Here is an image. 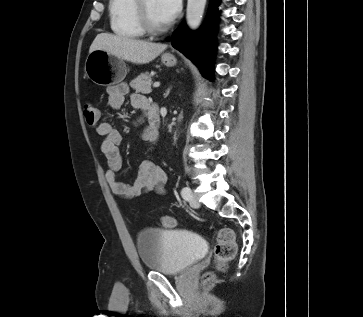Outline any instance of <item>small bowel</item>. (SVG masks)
I'll return each instance as SVG.
<instances>
[{"instance_id":"obj_1","label":"small bowel","mask_w":363,"mask_h":317,"mask_svg":"<svg viewBox=\"0 0 363 317\" xmlns=\"http://www.w3.org/2000/svg\"><path fill=\"white\" fill-rule=\"evenodd\" d=\"M128 87L125 84H118L108 90V104L113 109L122 107ZM131 105L146 113L149 102L141 94L133 93L130 96ZM96 132L102 137L100 150L104 155L108 171L106 180L114 194L124 199H132L150 192L164 194L166 190V175L164 171L152 160L146 159L139 166L138 178L133 184L121 182L117 175L122 168V154L120 145L123 141L122 134L108 121H101L96 126ZM142 136L148 139L147 129H144Z\"/></svg>"}]
</instances>
